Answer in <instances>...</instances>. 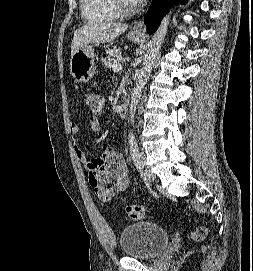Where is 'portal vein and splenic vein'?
I'll return each instance as SVG.
<instances>
[{
    "instance_id": "portal-vein-and-splenic-vein-1",
    "label": "portal vein and splenic vein",
    "mask_w": 253,
    "mask_h": 271,
    "mask_svg": "<svg viewBox=\"0 0 253 271\" xmlns=\"http://www.w3.org/2000/svg\"><path fill=\"white\" fill-rule=\"evenodd\" d=\"M122 68H123L122 65L119 64V65H115L113 70L114 72H119L122 70Z\"/></svg>"
}]
</instances>
